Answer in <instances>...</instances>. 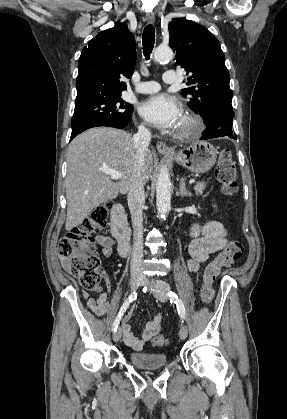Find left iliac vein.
I'll list each match as a JSON object with an SVG mask.
<instances>
[{
	"instance_id": "left-iliac-vein-1",
	"label": "left iliac vein",
	"mask_w": 287,
	"mask_h": 419,
	"mask_svg": "<svg viewBox=\"0 0 287 419\" xmlns=\"http://www.w3.org/2000/svg\"><path fill=\"white\" fill-rule=\"evenodd\" d=\"M142 285H146L150 287L153 291L154 296L161 302H166L168 300L167 291L170 290V286L168 283L162 280H149L144 278L142 281ZM188 330L186 325H182L179 331V336L181 339H185L187 337Z\"/></svg>"
}]
</instances>
